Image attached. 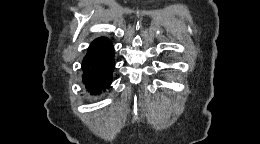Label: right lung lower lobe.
Instances as JSON below:
<instances>
[{"mask_svg": "<svg viewBox=\"0 0 260 144\" xmlns=\"http://www.w3.org/2000/svg\"><path fill=\"white\" fill-rule=\"evenodd\" d=\"M114 49L105 37L95 39L82 63L83 82L91 95H99L112 82Z\"/></svg>", "mask_w": 260, "mask_h": 144, "instance_id": "obj_1", "label": "right lung lower lobe"}]
</instances>
